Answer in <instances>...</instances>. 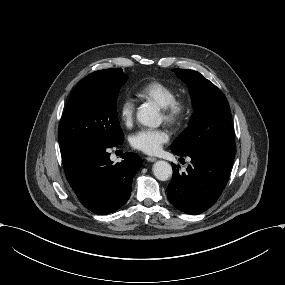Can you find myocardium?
<instances>
[{
    "mask_svg": "<svg viewBox=\"0 0 285 285\" xmlns=\"http://www.w3.org/2000/svg\"><path fill=\"white\" fill-rule=\"evenodd\" d=\"M190 107L189 97L185 94H175L167 103L161 106L164 122L176 125L187 115Z\"/></svg>",
    "mask_w": 285,
    "mask_h": 285,
    "instance_id": "obj_1",
    "label": "myocardium"
}]
</instances>
